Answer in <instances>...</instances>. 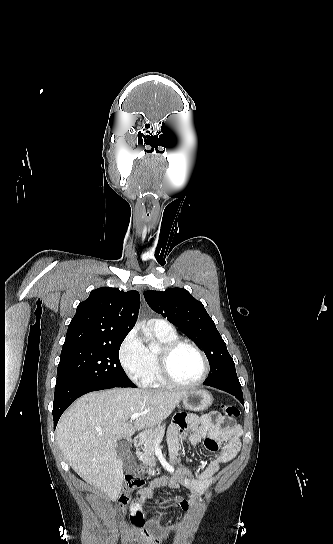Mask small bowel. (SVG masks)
Here are the masks:
<instances>
[{"label": "small bowel", "instance_id": "small-bowel-1", "mask_svg": "<svg viewBox=\"0 0 333 544\" xmlns=\"http://www.w3.org/2000/svg\"><path fill=\"white\" fill-rule=\"evenodd\" d=\"M225 422L229 424L225 425ZM240 435L241 429L231 419L223 417L218 412L202 416L186 415L175 419L168 434L170 460L173 464L176 463L182 442L186 438L193 445L204 441L206 450L214 452L215 455L204 469L198 471L176 469L170 478H157L138 492L131 507V522L145 542L165 544L173 534H178L182 530L180 525L171 526L155 534L147 529L144 506L153 491L166 482L173 488H186L190 493L189 500L174 497L169 503L184 510L188 509L196 497L213 484L221 465L236 457L240 448Z\"/></svg>", "mask_w": 333, "mask_h": 544}]
</instances>
